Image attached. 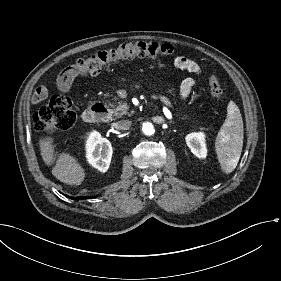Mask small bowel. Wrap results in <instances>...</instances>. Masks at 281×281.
I'll list each match as a JSON object with an SVG mask.
<instances>
[{
  "mask_svg": "<svg viewBox=\"0 0 281 281\" xmlns=\"http://www.w3.org/2000/svg\"><path fill=\"white\" fill-rule=\"evenodd\" d=\"M173 64L181 70H185L196 75L201 72V68L196 62L185 57L175 58L173 60ZM77 75L78 73L75 66L65 68L58 76L57 84L59 90L61 92H68ZM194 86L195 80L193 78L185 79L180 86V97L182 99H186L190 95ZM48 99L49 94L47 93V89L44 86H39L35 91V96L32 97V102L44 103Z\"/></svg>",
  "mask_w": 281,
  "mask_h": 281,
  "instance_id": "small-bowel-1",
  "label": "small bowel"
}]
</instances>
